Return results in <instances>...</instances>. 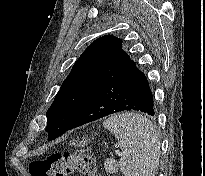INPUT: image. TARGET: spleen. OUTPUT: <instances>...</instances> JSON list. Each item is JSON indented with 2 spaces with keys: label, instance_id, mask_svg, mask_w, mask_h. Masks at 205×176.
I'll return each mask as SVG.
<instances>
[{
  "label": "spleen",
  "instance_id": "obj_1",
  "mask_svg": "<svg viewBox=\"0 0 205 176\" xmlns=\"http://www.w3.org/2000/svg\"><path fill=\"white\" fill-rule=\"evenodd\" d=\"M103 126L115 135L122 150L119 166L124 176H155L160 141L152 122L138 113L113 115Z\"/></svg>",
  "mask_w": 205,
  "mask_h": 176
}]
</instances>
